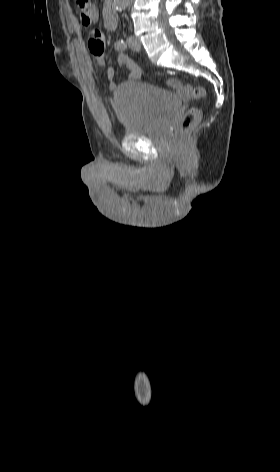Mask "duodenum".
<instances>
[{"label":"duodenum","instance_id":"obj_1","mask_svg":"<svg viewBox=\"0 0 280 472\" xmlns=\"http://www.w3.org/2000/svg\"><path fill=\"white\" fill-rule=\"evenodd\" d=\"M104 26L107 30H115L117 27V20L113 15L111 7L108 5L106 6L104 13Z\"/></svg>","mask_w":280,"mask_h":472}]
</instances>
